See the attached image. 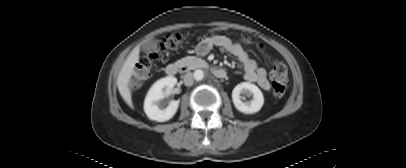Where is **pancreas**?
<instances>
[{
    "mask_svg": "<svg viewBox=\"0 0 406 168\" xmlns=\"http://www.w3.org/2000/svg\"><path fill=\"white\" fill-rule=\"evenodd\" d=\"M179 63L183 66L188 67L189 69H195L197 67L206 65V62L204 60L194 56H187L185 58H182L181 60H179Z\"/></svg>",
    "mask_w": 406,
    "mask_h": 168,
    "instance_id": "pancreas-1",
    "label": "pancreas"
}]
</instances>
